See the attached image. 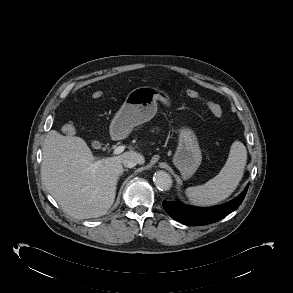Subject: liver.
<instances>
[{"mask_svg": "<svg viewBox=\"0 0 293 293\" xmlns=\"http://www.w3.org/2000/svg\"><path fill=\"white\" fill-rule=\"evenodd\" d=\"M128 154L136 155L139 164L144 163V157L135 151L96 160L82 138L51 130L42 146V180L68 215L97 218L105 215L115 201L122 160Z\"/></svg>", "mask_w": 293, "mask_h": 293, "instance_id": "liver-1", "label": "liver"}]
</instances>
